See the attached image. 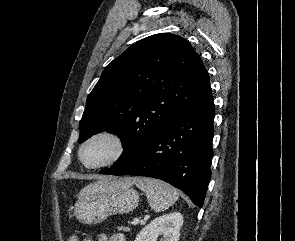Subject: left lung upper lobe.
I'll return each mask as SVG.
<instances>
[{
	"mask_svg": "<svg viewBox=\"0 0 295 241\" xmlns=\"http://www.w3.org/2000/svg\"><path fill=\"white\" fill-rule=\"evenodd\" d=\"M211 93L203 62L190 43L160 33L131 45L102 72L80 121L84 142L107 131L124 147L111 171L132 159L165 124Z\"/></svg>",
	"mask_w": 295,
	"mask_h": 241,
	"instance_id": "1",
	"label": "left lung upper lobe"
}]
</instances>
